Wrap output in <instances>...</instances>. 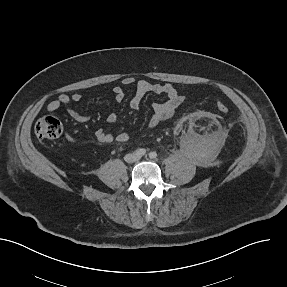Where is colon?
<instances>
[{
    "mask_svg": "<svg viewBox=\"0 0 287 287\" xmlns=\"http://www.w3.org/2000/svg\"><path fill=\"white\" fill-rule=\"evenodd\" d=\"M216 109L223 114L229 111L228 105L223 102H218ZM34 132L40 140H54L61 136L63 124L54 116H44L35 122Z\"/></svg>",
    "mask_w": 287,
    "mask_h": 287,
    "instance_id": "1",
    "label": "colon"
}]
</instances>
